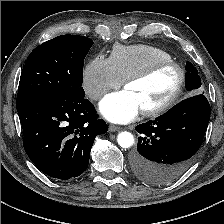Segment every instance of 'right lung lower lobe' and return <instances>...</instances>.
<instances>
[{
    "mask_svg": "<svg viewBox=\"0 0 224 224\" xmlns=\"http://www.w3.org/2000/svg\"><path fill=\"white\" fill-rule=\"evenodd\" d=\"M18 114L27 155L44 174L61 180L87 169L95 137L108 129L84 98L45 96L30 101Z\"/></svg>",
    "mask_w": 224,
    "mask_h": 224,
    "instance_id": "1",
    "label": "right lung lower lobe"
}]
</instances>
